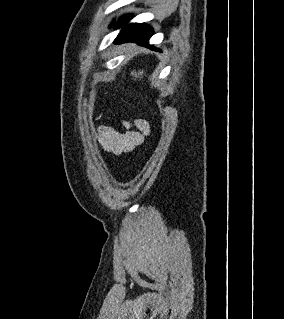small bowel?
I'll return each instance as SVG.
<instances>
[{"mask_svg":"<svg viewBox=\"0 0 284 319\" xmlns=\"http://www.w3.org/2000/svg\"><path fill=\"white\" fill-rule=\"evenodd\" d=\"M125 130L120 131L111 126H102L98 130V140L102 148L114 155L131 152L144 142L149 133V124L144 120H136L135 128L124 122Z\"/></svg>","mask_w":284,"mask_h":319,"instance_id":"1","label":"small bowel"}]
</instances>
